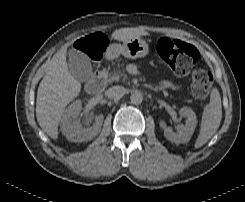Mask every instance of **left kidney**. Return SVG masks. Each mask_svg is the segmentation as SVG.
<instances>
[{
	"label": "left kidney",
	"instance_id": "obj_1",
	"mask_svg": "<svg viewBox=\"0 0 245 202\" xmlns=\"http://www.w3.org/2000/svg\"><path fill=\"white\" fill-rule=\"evenodd\" d=\"M179 114L186 117V123L185 125H180L177 132H173L172 128L167 127L163 120L159 122L160 127L164 130L165 138L176 144L189 142L197 125V117L192 109L181 108Z\"/></svg>",
	"mask_w": 245,
	"mask_h": 202
}]
</instances>
